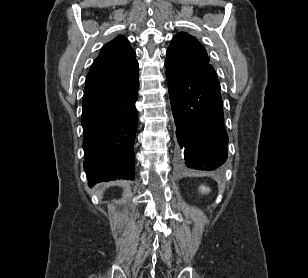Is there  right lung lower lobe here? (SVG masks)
Masks as SVG:
<instances>
[{"label": "right lung lower lobe", "mask_w": 308, "mask_h": 278, "mask_svg": "<svg viewBox=\"0 0 308 278\" xmlns=\"http://www.w3.org/2000/svg\"><path fill=\"white\" fill-rule=\"evenodd\" d=\"M139 73L127 85L84 93V169L89 183L134 179L133 144L137 129Z\"/></svg>", "instance_id": "right-lung-lower-lobe-1"}]
</instances>
